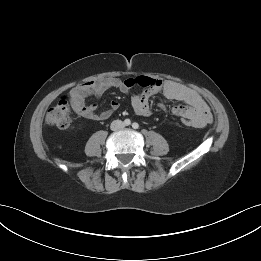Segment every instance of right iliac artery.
<instances>
[{"mask_svg": "<svg viewBox=\"0 0 261 261\" xmlns=\"http://www.w3.org/2000/svg\"><path fill=\"white\" fill-rule=\"evenodd\" d=\"M124 124H125L126 126L130 125V124H131L130 119H125V120H124Z\"/></svg>", "mask_w": 261, "mask_h": 261, "instance_id": "right-iliac-artery-1", "label": "right iliac artery"}]
</instances>
